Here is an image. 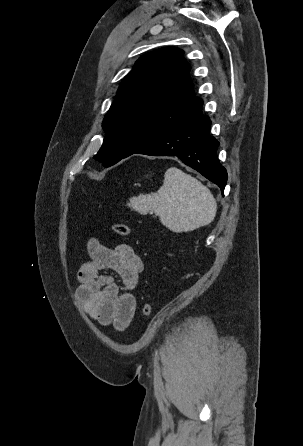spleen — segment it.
<instances>
[{"mask_svg":"<svg viewBox=\"0 0 303 446\" xmlns=\"http://www.w3.org/2000/svg\"><path fill=\"white\" fill-rule=\"evenodd\" d=\"M127 205L143 215L154 211L160 222L176 233L210 224L217 211L211 191L176 167L167 169L157 192L134 196Z\"/></svg>","mask_w":303,"mask_h":446,"instance_id":"1","label":"spleen"}]
</instances>
